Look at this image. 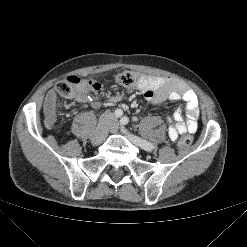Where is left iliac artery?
<instances>
[{
    "instance_id": "obj_1",
    "label": "left iliac artery",
    "mask_w": 247,
    "mask_h": 247,
    "mask_svg": "<svg viewBox=\"0 0 247 247\" xmlns=\"http://www.w3.org/2000/svg\"><path fill=\"white\" fill-rule=\"evenodd\" d=\"M128 122H129L128 117L124 116V117L121 118V120H120L121 131H127L128 132V130L125 128V126L128 124ZM131 135L135 138V140L137 141L138 145L142 149H144L146 151H151V150L154 149V146H153L152 143H150V142H148L146 140H143V139H141L140 137H138L136 135H133V134H131Z\"/></svg>"
}]
</instances>
